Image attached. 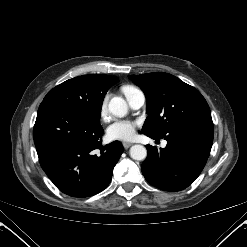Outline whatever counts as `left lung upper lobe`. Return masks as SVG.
I'll return each mask as SVG.
<instances>
[{"label": "left lung upper lobe", "instance_id": "obj_1", "mask_svg": "<svg viewBox=\"0 0 247 247\" xmlns=\"http://www.w3.org/2000/svg\"><path fill=\"white\" fill-rule=\"evenodd\" d=\"M145 93L149 116L143 134L162 138L189 123L211 120L209 106L194 87L168 73L129 75Z\"/></svg>", "mask_w": 247, "mask_h": 247}]
</instances>
